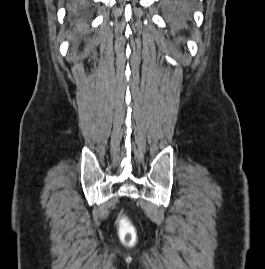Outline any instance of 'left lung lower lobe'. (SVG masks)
I'll return each instance as SVG.
<instances>
[{
  "instance_id": "0a47b994",
  "label": "left lung lower lobe",
  "mask_w": 265,
  "mask_h": 269,
  "mask_svg": "<svg viewBox=\"0 0 265 269\" xmlns=\"http://www.w3.org/2000/svg\"><path fill=\"white\" fill-rule=\"evenodd\" d=\"M193 0H163V9L170 18H184L192 11Z\"/></svg>"
}]
</instances>
